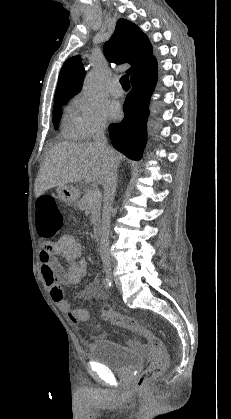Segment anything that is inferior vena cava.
I'll return each instance as SVG.
<instances>
[{"instance_id": "inferior-vena-cava-1", "label": "inferior vena cava", "mask_w": 231, "mask_h": 419, "mask_svg": "<svg viewBox=\"0 0 231 419\" xmlns=\"http://www.w3.org/2000/svg\"><path fill=\"white\" fill-rule=\"evenodd\" d=\"M105 125L102 124L96 130L94 135V146L101 150L110 160L109 171L104 182V205L102 214V224L100 231V256L105 266L111 265L109 236H110V220L113 211V200L117 186V168L118 163L115 161L114 152L107 146V139L104 135Z\"/></svg>"}]
</instances>
